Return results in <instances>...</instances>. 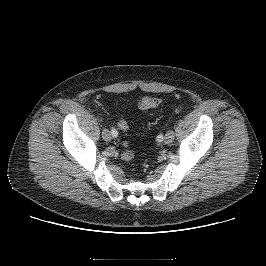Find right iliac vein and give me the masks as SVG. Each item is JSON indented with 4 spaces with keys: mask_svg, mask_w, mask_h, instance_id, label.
Instances as JSON below:
<instances>
[{
    "mask_svg": "<svg viewBox=\"0 0 266 266\" xmlns=\"http://www.w3.org/2000/svg\"><path fill=\"white\" fill-rule=\"evenodd\" d=\"M102 136L106 141H109L111 139V134L107 129L103 130Z\"/></svg>",
    "mask_w": 266,
    "mask_h": 266,
    "instance_id": "63e3f726",
    "label": "right iliac vein"
}]
</instances>
